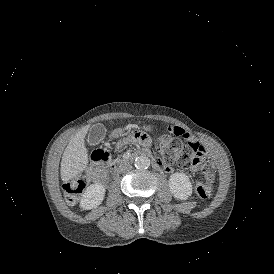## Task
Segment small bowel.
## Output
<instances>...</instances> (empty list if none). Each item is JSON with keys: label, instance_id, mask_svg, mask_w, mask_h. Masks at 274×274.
<instances>
[{"label": "small bowel", "instance_id": "c3829d8e", "mask_svg": "<svg viewBox=\"0 0 274 274\" xmlns=\"http://www.w3.org/2000/svg\"><path fill=\"white\" fill-rule=\"evenodd\" d=\"M167 130L170 133H177L179 136H182L185 140L193 145L195 149V153L193 155V160L191 162V169L195 174L199 173L200 160L203 157L204 153V145L198 138L191 136V134L182 126H178L177 124H170L167 127ZM139 142L144 147H150V140L147 137L139 138ZM120 147H118L119 149ZM103 158H96L93 163H91L86 171V179L88 182L102 184V179L108 174L111 170L110 167H106L103 164Z\"/></svg>", "mask_w": 274, "mask_h": 274}]
</instances>
